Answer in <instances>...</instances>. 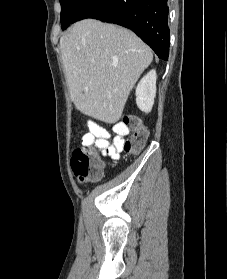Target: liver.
Returning a JSON list of instances; mask_svg holds the SVG:
<instances>
[{"label": "liver", "instance_id": "6515ba94", "mask_svg": "<svg viewBox=\"0 0 227 279\" xmlns=\"http://www.w3.org/2000/svg\"><path fill=\"white\" fill-rule=\"evenodd\" d=\"M69 94L77 110L105 123L117 122L130 91L153 60L132 31L84 19L60 38Z\"/></svg>", "mask_w": 227, "mask_h": 279}]
</instances>
